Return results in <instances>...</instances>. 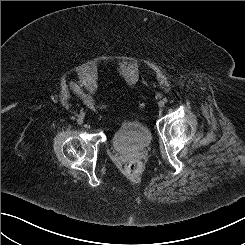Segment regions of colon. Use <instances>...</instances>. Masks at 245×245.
Returning <instances> with one entry per match:
<instances>
[{
	"instance_id": "colon-1",
	"label": "colon",
	"mask_w": 245,
	"mask_h": 245,
	"mask_svg": "<svg viewBox=\"0 0 245 245\" xmlns=\"http://www.w3.org/2000/svg\"><path fill=\"white\" fill-rule=\"evenodd\" d=\"M142 165L138 160L132 159L125 165V170L130 175H137L140 173Z\"/></svg>"
}]
</instances>
